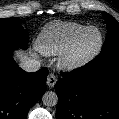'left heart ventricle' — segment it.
<instances>
[{
    "label": "left heart ventricle",
    "instance_id": "left-heart-ventricle-1",
    "mask_svg": "<svg viewBox=\"0 0 119 119\" xmlns=\"http://www.w3.org/2000/svg\"><path fill=\"white\" fill-rule=\"evenodd\" d=\"M99 35L96 31H90L79 42L76 48L77 56H84L92 52L98 45Z\"/></svg>",
    "mask_w": 119,
    "mask_h": 119
}]
</instances>
